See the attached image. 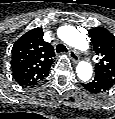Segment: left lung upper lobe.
<instances>
[{
  "mask_svg": "<svg viewBox=\"0 0 115 119\" xmlns=\"http://www.w3.org/2000/svg\"><path fill=\"white\" fill-rule=\"evenodd\" d=\"M95 53L100 57L95 73L115 83V36L104 27L88 30Z\"/></svg>",
  "mask_w": 115,
  "mask_h": 119,
  "instance_id": "left-lung-upper-lobe-1",
  "label": "left lung upper lobe"
}]
</instances>
